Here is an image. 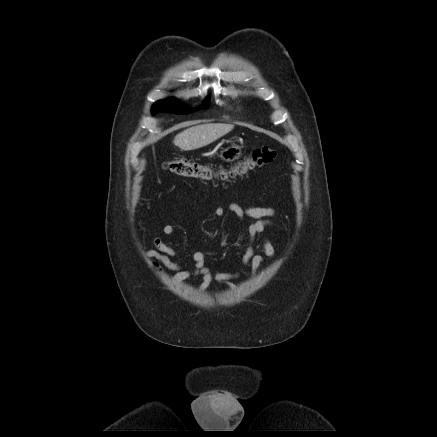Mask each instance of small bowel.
Masks as SVG:
<instances>
[{
    "label": "small bowel",
    "mask_w": 437,
    "mask_h": 437,
    "mask_svg": "<svg viewBox=\"0 0 437 437\" xmlns=\"http://www.w3.org/2000/svg\"><path fill=\"white\" fill-rule=\"evenodd\" d=\"M229 210L235 217L243 222L248 220V236L249 245L242 256V267L250 266L252 274H255L262 266L265 257H273L276 250L272 243L264 236L266 230L271 227V218L275 215V210L271 207H249L243 209L236 203L229 205ZM226 214L224 207L218 206L214 209V215L217 218H222ZM162 231L165 235L172 236L174 227L170 224H163ZM260 238L261 250L263 255L256 254L254 250V241ZM154 249L147 250L146 256L152 260V265L156 270L162 271V266L174 272L173 281L177 284L186 281L193 276H199L202 279L199 285L200 290L208 288L212 281H218L229 289L237 290L244 284H237V280L241 271L237 272H211L206 266V258L211 255V252L196 251L191 255L193 268L186 269L183 264L173 260L177 255V251L165 243L160 237L153 238Z\"/></svg>",
    "instance_id": "obj_1"
}]
</instances>
